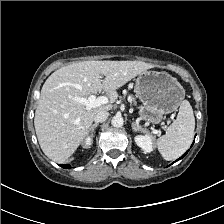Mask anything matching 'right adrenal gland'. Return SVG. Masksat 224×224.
I'll list each match as a JSON object with an SVG mask.
<instances>
[{"label":"right adrenal gland","instance_id":"obj_1","mask_svg":"<svg viewBox=\"0 0 224 224\" xmlns=\"http://www.w3.org/2000/svg\"><path fill=\"white\" fill-rule=\"evenodd\" d=\"M98 125H99L98 123H95L90 127L89 132L91 133V136H93L94 130Z\"/></svg>","mask_w":224,"mask_h":224}]
</instances>
